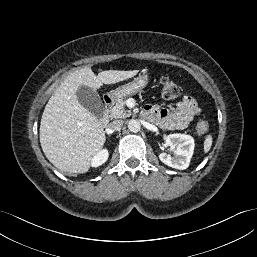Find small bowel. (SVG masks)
<instances>
[{"label":"small bowel","mask_w":257,"mask_h":257,"mask_svg":"<svg viewBox=\"0 0 257 257\" xmlns=\"http://www.w3.org/2000/svg\"><path fill=\"white\" fill-rule=\"evenodd\" d=\"M143 112L146 117L166 130H182L199 114L200 109L193 97L184 96L172 110L161 106L147 105Z\"/></svg>","instance_id":"c3829d8e"}]
</instances>
